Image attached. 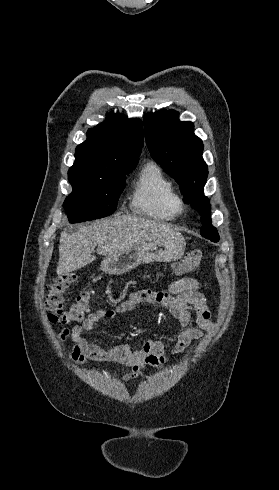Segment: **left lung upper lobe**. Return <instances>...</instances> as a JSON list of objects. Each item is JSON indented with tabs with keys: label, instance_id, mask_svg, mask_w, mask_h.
Wrapping results in <instances>:
<instances>
[{
	"label": "left lung upper lobe",
	"instance_id": "5c2ea615",
	"mask_svg": "<svg viewBox=\"0 0 279 490\" xmlns=\"http://www.w3.org/2000/svg\"><path fill=\"white\" fill-rule=\"evenodd\" d=\"M145 136L153 159L179 183L186 202L201 215L200 233L219 241L211 224V206L204 196L208 169L203 160V143L194 134L192 122H180L174 110H161L144 116Z\"/></svg>",
	"mask_w": 279,
	"mask_h": 490
}]
</instances>
